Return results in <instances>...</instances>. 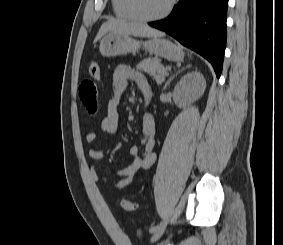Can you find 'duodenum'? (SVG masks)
<instances>
[{
  "instance_id": "1",
  "label": "duodenum",
  "mask_w": 283,
  "mask_h": 245,
  "mask_svg": "<svg viewBox=\"0 0 283 245\" xmlns=\"http://www.w3.org/2000/svg\"><path fill=\"white\" fill-rule=\"evenodd\" d=\"M146 103H148L150 100L149 99H145Z\"/></svg>"
}]
</instances>
